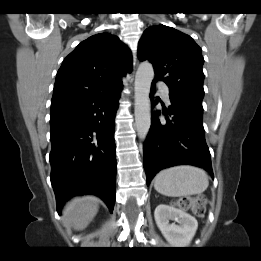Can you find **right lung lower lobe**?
Here are the masks:
<instances>
[{"label":"right lung lower lobe","instance_id":"98d812e1","mask_svg":"<svg viewBox=\"0 0 261 261\" xmlns=\"http://www.w3.org/2000/svg\"><path fill=\"white\" fill-rule=\"evenodd\" d=\"M118 89L51 105V183L57 211L75 195L94 194L110 212L115 203L114 119Z\"/></svg>","mask_w":261,"mask_h":261}]
</instances>
